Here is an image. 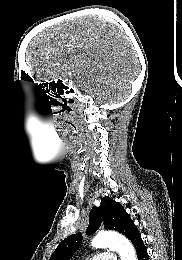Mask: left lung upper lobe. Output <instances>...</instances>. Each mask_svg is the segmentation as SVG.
I'll list each match as a JSON object with an SVG mask.
<instances>
[{"label":"left lung upper lobe","mask_w":182,"mask_h":260,"mask_svg":"<svg viewBox=\"0 0 182 260\" xmlns=\"http://www.w3.org/2000/svg\"><path fill=\"white\" fill-rule=\"evenodd\" d=\"M102 221H104L106 229L118 231L126 237L136 226L123 206L109 197L102 198L99 207H92L86 234L92 235L95 233ZM81 242V233L70 235L58 245L50 260H70Z\"/></svg>","instance_id":"left-lung-upper-lobe-1"}]
</instances>
